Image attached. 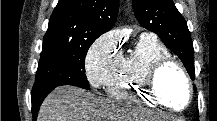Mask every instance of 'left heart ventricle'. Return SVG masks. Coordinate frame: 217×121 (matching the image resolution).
I'll return each mask as SVG.
<instances>
[{
  "label": "left heart ventricle",
  "mask_w": 217,
  "mask_h": 121,
  "mask_svg": "<svg viewBox=\"0 0 217 121\" xmlns=\"http://www.w3.org/2000/svg\"><path fill=\"white\" fill-rule=\"evenodd\" d=\"M158 90L163 99L175 108L185 105L188 92L185 80L174 67H169L158 77Z\"/></svg>",
  "instance_id": "b2bd125f"
}]
</instances>
